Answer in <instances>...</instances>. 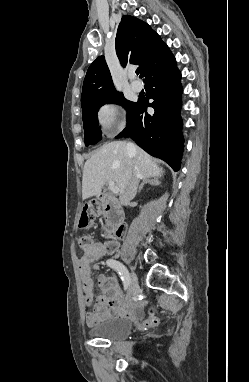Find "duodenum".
<instances>
[{
  "mask_svg": "<svg viewBox=\"0 0 249 382\" xmlns=\"http://www.w3.org/2000/svg\"><path fill=\"white\" fill-rule=\"evenodd\" d=\"M98 199L107 215L108 227H119L123 219V211L118 204L117 199L114 196L104 192L98 194Z\"/></svg>",
  "mask_w": 249,
  "mask_h": 382,
  "instance_id": "410a0bca",
  "label": "duodenum"
}]
</instances>
